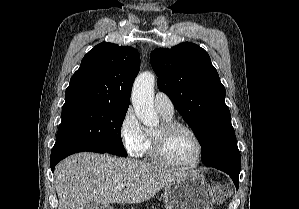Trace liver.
<instances>
[{
	"instance_id": "obj_1",
	"label": "liver",
	"mask_w": 299,
	"mask_h": 209,
	"mask_svg": "<svg viewBox=\"0 0 299 209\" xmlns=\"http://www.w3.org/2000/svg\"><path fill=\"white\" fill-rule=\"evenodd\" d=\"M189 174L129 158L74 154L55 168L58 209H84L89 201L103 205L141 203Z\"/></svg>"
}]
</instances>
